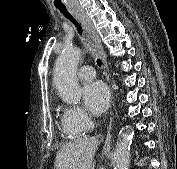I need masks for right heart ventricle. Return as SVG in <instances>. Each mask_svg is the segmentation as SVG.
<instances>
[{"label":"right heart ventricle","instance_id":"right-heart-ventricle-1","mask_svg":"<svg viewBox=\"0 0 177 169\" xmlns=\"http://www.w3.org/2000/svg\"><path fill=\"white\" fill-rule=\"evenodd\" d=\"M62 126H63L64 131L68 133V137H69V138H76V137L78 136V135H76V134H73V133H70V132H69V127H68L67 124L65 123L63 116H62Z\"/></svg>","mask_w":177,"mask_h":169}]
</instances>
